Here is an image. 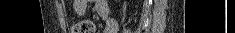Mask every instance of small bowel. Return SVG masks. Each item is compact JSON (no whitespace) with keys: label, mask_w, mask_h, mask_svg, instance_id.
Masks as SVG:
<instances>
[{"label":"small bowel","mask_w":235,"mask_h":33,"mask_svg":"<svg viewBox=\"0 0 235 33\" xmlns=\"http://www.w3.org/2000/svg\"><path fill=\"white\" fill-rule=\"evenodd\" d=\"M87 0H77L74 3V8L77 12H83L87 6ZM95 9L97 13L106 20L105 33H116L117 24L114 19L109 18L108 5L104 0H97L95 2Z\"/></svg>","instance_id":"1"}]
</instances>
